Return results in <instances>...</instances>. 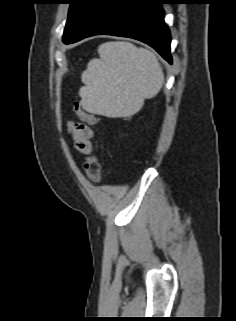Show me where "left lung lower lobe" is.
<instances>
[{
    "label": "left lung lower lobe",
    "instance_id": "left-lung-lower-lobe-1",
    "mask_svg": "<svg viewBox=\"0 0 236 321\" xmlns=\"http://www.w3.org/2000/svg\"><path fill=\"white\" fill-rule=\"evenodd\" d=\"M167 0H96L80 29L65 44L94 35L130 37L147 43L172 64L171 36L161 4Z\"/></svg>",
    "mask_w": 236,
    "mask_h": 321
}]
</instances>
